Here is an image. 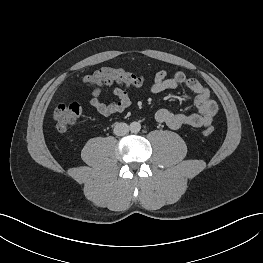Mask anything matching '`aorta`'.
Instances as JSON below:
<instances>
[{"mask_svg": "<svg viewBox=\"0 0 263 263\" xmlns=\"http://www.w3.org/2000/svg\"><path fill=\"white\" fill-rule=\"evenodd\" d=\"M140 129H141V125L139 122H132L130 124V131L132 133H138L140 131Z\"/></svg>", "mask_w": 263, "mask_h": 263, "instance_id": "1", "label": "aorta"}]
</instances>
